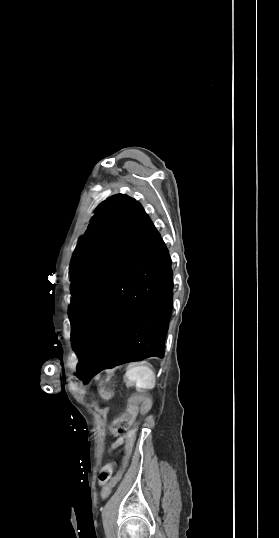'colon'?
I'll return each instance as SVG.
<instances>
[{"mask_svg":"<svg viewBox=\"0 0 279 538\" xmlns=\"http://www.w3.org/2000/svg\"><path fill=\"white\" fill-rule=\"evenodd\" d=\"M141 401V398L139 396H134L124 413H122L120 416L114 419V421L111 424V432L115 435L123 432L128 431L125 439V445H124V455H123V461L122 465L124 466L126 464V461L128 459V456L132 450V447L135 443L136 436H137V427H133V423L135 421V418L137 416V413L139 411V403ZM115 451V448H110L107 455L103 459V465L101 466L100 472H99V480L100 482L105 483V485L102 488L101 496L103 499H107L112 492V489L117 484L121 477V469L110 479L112 471H113V461L111 460L112 455Z\"/></svg>","mask_w":279,"mask_h":538,"instance_id":"colon-1","label":"colon"}]
</instances>
